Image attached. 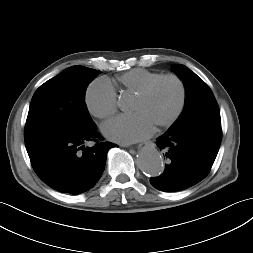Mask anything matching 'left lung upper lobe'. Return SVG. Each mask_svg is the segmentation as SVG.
<instances>
[{"label": "left lung upper lobe", "instance_id": "left-lung-upper-lobe-1", "mask_svg": "<svg viewBox=\"0 0 253 253\" xmlns=\"http://www.w3.org/2000/svg\"><path fill=\"white\" fill-rule=\"evenodd\" d=\"M173 70L185 85L186 98L184 110L172 126L203 120L221 123L218 104L208 85L184 65H174Z\"/></svg>", "mask_w": 253, "mask_h": 253}]
</instances>
